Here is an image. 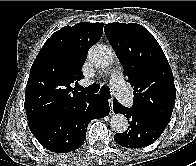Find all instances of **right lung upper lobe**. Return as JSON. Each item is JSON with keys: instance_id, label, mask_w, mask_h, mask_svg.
I'll return each mask as SVG.
<instances>
[{"instance_id": "right-lung-upper-lobe-1", "label": "right lung upper lobe", "mask_w": 196, "mask_h": 166, "mask_svg": "<svg viewBox=\"0 0 196 166\" xmlns=\"http://www.w3.org/2000/svg\"><path fill=\"white\" fill-rule=\"evenodd\" d=\"M104 24L80 22L65 26L45 42L30 70L25 92L28 122L60 114L90 95L71 85L81 73L89 48L103 33Z\"/></svg>"}]
</instances>
